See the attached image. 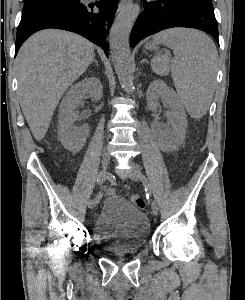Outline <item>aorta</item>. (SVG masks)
<instances>
[{
	"label": "aorta",
	"mask_w": 245,
	"mask_h": 300,
	"mask_svg": "<svg viewBox=\"0 0 245 300\" xmlns=\"http://www.w3.org/2000/svg\"><path fill=\"white\" fill-rule=\"evenodd\" d=\"M138 5L124 8L115 19L110 31V51L118 79L128 92L133 91V70L129 36L139 14Z\"/></svg>",
	"instance_id": "1"
}]
</instances>
